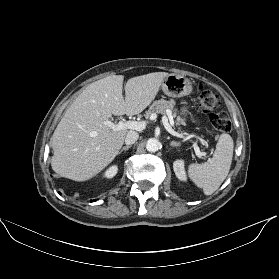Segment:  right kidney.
Listing matches in <instances>:
<instances>
[{"label":"right kidney","mask_w":279,"mask_h":279,"mask_svg":"<svg viewBox=\"0 0 279 279\" xmlns=\"http://www.w3.org/2000/svg\"><path fill=\"white\" fill-rule=\"evenodd\" d=\"M117 171H118V166L112 165L104 172L103 177L107 179L113 178L117 174Z\"/></svg>","instance_id":"1"}]
</instances>
